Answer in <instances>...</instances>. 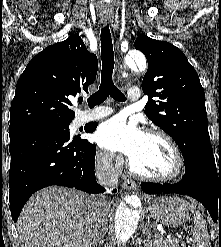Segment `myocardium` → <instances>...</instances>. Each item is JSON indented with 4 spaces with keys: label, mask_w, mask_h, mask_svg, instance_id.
<instances>
[{
    "label": "myocardium",
    "mask_w": 221,
    "mask_h": 247,
    "mask_svg": "<svg viewBox=\"0 0 221 247\" xmlns=\"http://www.w3.org/2000/svg\"><path fill=\"white\" fill-rule=\"evenodd\" d=\"M145 134L149 136L158 137L168 144L175 158L174 172H172L169 175H165V176H153V175L141 173L134 168L131 160L128 159L127 165H128L130 172L134 176L140 179L152 181V182L167 183V182H173V181L179 180L185 173L186 165H185V159H184L183 153L180 147L178 146V144L169 134H167L165 131L160 130V129H148L145 132Z\"/></svg>",
    "instance_id": "obj_1"
}]
</instances>
